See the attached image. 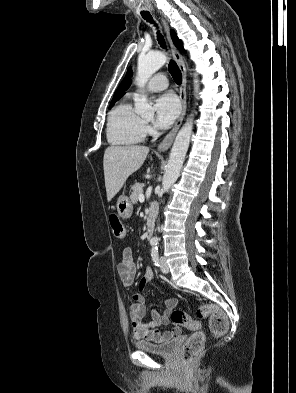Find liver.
Wrapping results in <instances>:
<instances>
[{
    "instance_id": "obj_1",
    "label": "liver",
    "mask_w": 296,
    "mask_h": 393,
    "mask_svg": "<svg viewBox=\"0 0 296 393\" xmlns=\"http://www.w3.org/2000/svg\"><path fill=\"white\" fill-rule=\"evenodd\" d=\"M149 148L145 146H110L104 152L103 168L107 200L120 191L128 177L144 163Z\"/></svg>"
}]
</instances>
